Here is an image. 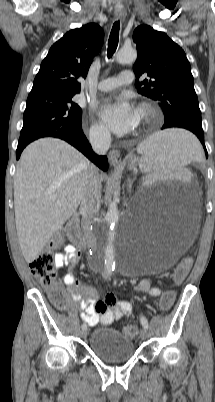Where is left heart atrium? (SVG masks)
Here are the masks:
<instances>
[{
    "mask_svg": "<svg viewBox=\"0 0 215 402\" xmlns=\"http://www.w3.org/2000/svg\"><path fill=\"white\" fill-rule=\"evenodd\" d=\"M100 116L106 125L117 134L133 131L137 122L136 110L125 96L105 103L100 110Z\"/></svg>",
    "mask_w": 215,
    "mask_h": 402,
    "instance_id": "obj_1",
    "label": "left heart atrium"
}]
</instances>
